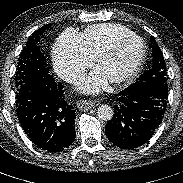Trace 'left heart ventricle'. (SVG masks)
Instances as JSON below:
<instances>
[{
    "instance_id": "left-heart-ventricle-1",
    "label": "left heart ventricle",
    "mask_w": 183,
    "mask_h": 183,
    "mask_svg": "<svg viewBox=\"0 0 183 183\" xmlns=\"http://www.w3.org/2000/svg\"><path fill=\"white\" fill-rule=\"evenodd\" d=\"M140 52L141 44L138 41L127 42L115 55L102 63L99 70L110 81L126 73L136 62Z\"/></svg>"
}]
</instances>
